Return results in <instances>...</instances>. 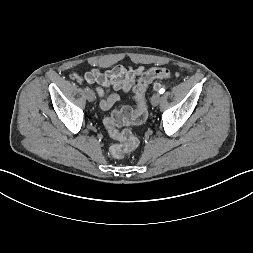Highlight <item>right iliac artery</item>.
Listing matches in <instances>:
<instances>
[{
	"mask_svg": "<svg viewBox=\"0 0 253 253\" xmlns=\"http://www.w3.org/2000/svg\"><path fill=\"white\" fill-rule=\"evenodd\" d=\"M90 90V88L89 87H85V91H89Z\"/></svg>",
	"mask_w": 253,
	"mask_h": 253,
	"instance_id": "obj_1",
	"label": "right iliac artery"
}]
</instances>
